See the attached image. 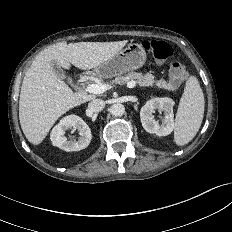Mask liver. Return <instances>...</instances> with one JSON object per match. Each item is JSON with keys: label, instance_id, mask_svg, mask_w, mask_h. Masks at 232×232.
Returning a JSON list of instances; mask_svg holds the SVG:
<instances>
[{"label": "liver", "instance_id": "liver-1", "mask_svg": "<svg viewBox=\"0 0 232 232\" xmlns=\"http://www.w3.org/2000/svg\"><path fill=\"white\" fill-rule=\"evenodd\" d=\"M127 42H59L35 57L23 79L19 100L20 125L30 143L40 144L61 115L94 99L84 92L74 93L56 76L51 63L90 70L111 59Z\"/></svg>", "mask_w": 232, "mask_h": 232}]
</instances>
